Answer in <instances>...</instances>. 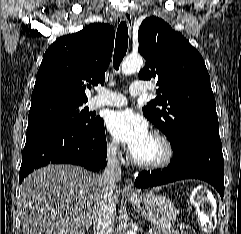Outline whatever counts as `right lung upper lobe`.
<instances>
[{"instance_id":"cb5924a9","label":"right lung upper lobe","mask_w":241,"mask_h":234,"mask_svg":"<svg viewBox=\"0 0 241 234\" xmlns=\"http://www.w3.org/2000/svg\"><path fill=\"white\" fill-rule=\"evenodd\" d=\"M114 35L111 25L92 23L58 38L44 54L31 105L56 100L85 104V89L104 84Z\"/></svg>"}]
</instances>
